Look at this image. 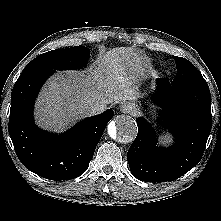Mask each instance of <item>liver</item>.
<instances>
[{"instance_id":"1","label":"liver","mask_w":221,"mask_h":221,"mask_svg":"<svg viewBox=\"0 0 221 221\" xmlns=\"http://www.w3.org/2000/svg\"><path fill=\"white\" fill-rule=\"evenodd\" d=\"M148 61L132 47L113 48L82 72L69 71L52 77L36 103L41 127L63 131L78 119L91 116L90 105L136 100L138 84L146 77Z\"/></svg>"}]
</instances>
